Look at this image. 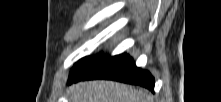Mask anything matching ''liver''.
<instances>
[{
  "label": "liver",
  "instance_id": "obj_1",
  "mask_svg": "<svg viewBox=\"0 0 221 102\" xmlns=\"http://www.w3.org/2000/svg\"><path fill=\"white\" fill-rule=\"evenodd\" d=\"M70 102H152V96L113 81L79 82L67 90Z\"/></svg>",
  "mask_w": 221,
  "mask_h": 102
}]
</instances>
